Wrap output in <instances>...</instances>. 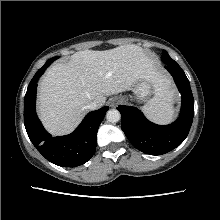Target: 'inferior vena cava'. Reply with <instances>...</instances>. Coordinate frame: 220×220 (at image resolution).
I'll return each mask as SVG.
<instances>
[{"instance_id": "602c4592", "label": "inferior vena cava", "mask_w": 220, "mask_h": 220, "mask_svg": "<svg viewBox=\"0 0 220 220\" xmlns=\"http://www.w3.org/2000/svg\"><path fill=\"white\" fill-rule=\"evenodd\" d=\"M100 107V105L97 102H91L89 105H87V109L89 110H96Z\"/></svg>"}]
</instances>
